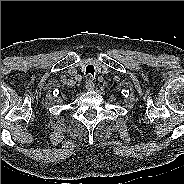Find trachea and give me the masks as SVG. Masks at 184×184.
<instances>
[{"instance_id":"3493384b","label":"trachea","mask_w":184,"mask_h":184,"mask_svg":"<svg viewBox=\"0 0 184 184\" xmlns=\"http://www.w3.org/2000/svg\"><path fill=\"white\" fill-rule=\"evenodd\" d=\"M86 74H92L94 76V67L92 65L87 66Z\"/></svg>"}]
</instances>
